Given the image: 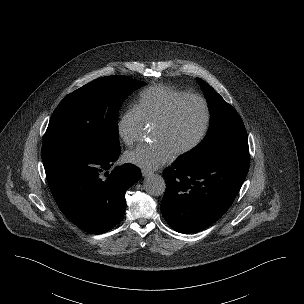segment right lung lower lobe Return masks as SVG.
Segmentation results:
<instances>
[{
	"label": "right lung lower lobe",
	"instance_id": "obj_1",
	"mask_svg": "<svg viewBox=\"0 0 304 304\" xmlns=\"http://www.w3.org/2000/svg\"><path fill=\"white\" fill-rule=\"evenodd\" d=\"M119 153L66 150L42 155L52 195L63 214L82 230L100 234L124 216L125 192L141 178L132 164L112 169Z\"/></svg>",
	"mask_w": 304,
	"mask_h": 304
}]
</instances>
